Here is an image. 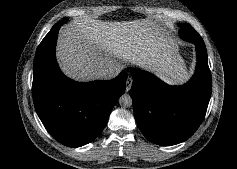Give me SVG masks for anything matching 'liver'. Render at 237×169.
<instances>
[{
  "label": "liver",
  "mask_w": 237,
  "mask_h": 169,
  "mask_svg": "<svg viewBox=\"0 0 237 169\" xmlns=\"http://www.w3.org/2000/svg\"><path fill=\"white\" fill-rule=\"evenodd\" d=\"M58 58L64 72L79 81L100 78L107 67L135 64L145 67L162 65L165 39L151 24L80 21L61 30Z\"/></svg>",
  "instance_id": "obj_1"
}]
</instances>
